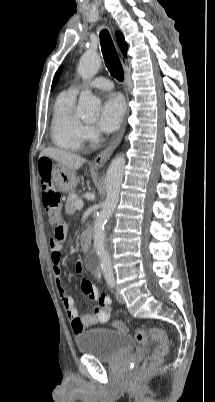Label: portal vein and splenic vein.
Instances as JSON below:
<instances>
[{
  "label": "portal vein and splenic vein",
  "mask_w": 215,
  "mask_h": 402,
  "mask_svg": "<svg viewBox=\"0 0 215 402\" xmlns=\"http://www.w3.org/2000/svg\"><path fill=\"white\" fill-rule=\"evenodd\" d=\"M75 208H76L77 210L82 209V208H83V201H82V200H77V201L75 202Z\"/></svg>",
  "instance_id": "portal-vein-and-splenic-vein-1"
}]
</instances>
